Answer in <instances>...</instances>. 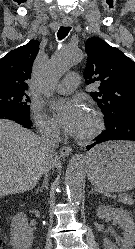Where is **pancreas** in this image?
I'll return each mask as SVG.
<instances>
[{"label":"pancreas","instance_id":"cf45deb5","mask_svg":"<svg viewBox=\"0 0 135 249\" xmlns=\"http://www.w3.org/2000/svg\"><path fill=\"white\" fill-rule=\"evenodd\" d=\"M119 202H122L124 204L132 205L134 203V200L128 196H120Z\"/></svg>","mask_w":135,"mask_h":249}]
</instances>
